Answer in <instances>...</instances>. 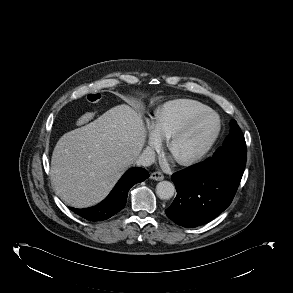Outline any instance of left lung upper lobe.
<instances>
[{
	"mask_svg": "<svg viewBox=\"0 0 293 293\" xmlns=\"http://www.w3.org/2000/svg\"><path fill=\"white\" fill-rule=\"evenodd\" d=\"M238 148H246V143L240 127L238 126L235 120H231L230 134L225 139L223 146H221L215 152L213 157H220V155L226 152L234 151Z\"/></svg>",
	"mask_w": 293,
	"mask_h": 293,
	"instance_id": "5c2ea615",
	"label": "left lung upper lobe"
}]
</instances>
